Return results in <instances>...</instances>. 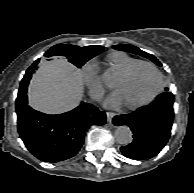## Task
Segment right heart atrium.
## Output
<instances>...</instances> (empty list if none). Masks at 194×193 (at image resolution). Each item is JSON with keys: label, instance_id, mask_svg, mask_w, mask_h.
I'll use <instances>...</instances> for the list:
<instances>
[{"label": "right heart atrium", "instance_id": "right-heart-atrium-1", "mask_svg": "<svg viewBox=\"0 0 194 193\" xmlns=\"http://www.w3.org/2000/svg\"><path fill=\"white\" fill-rule=\"evenodd\" d=\"M82 73L84 81L92 97L96 99L101 98L105 89L101 77L98 73L96 64L92 61L86 62L82 66Z\"/></svg>", "mask_w": 194, "mask_h": 193}]
</instances>
